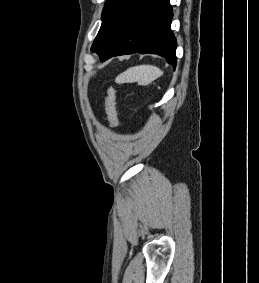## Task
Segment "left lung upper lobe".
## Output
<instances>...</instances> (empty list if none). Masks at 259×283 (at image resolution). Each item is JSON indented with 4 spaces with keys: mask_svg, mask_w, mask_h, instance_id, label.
Here are the masks:
<instances>
[{
    "mask_svg": "<svg viewBox=\"0 0 259 283\" xmlns=\"http://www.w3.org/2000/svg\"><path fill=\"white\" fill-rule=\"evenodd\" d=\"M123 1L124 0H107L106 1L105 7H104L103 13H102V25H101V28H100L97 36H96L95 41H97L100 38V36L103 34L106 27L108 26V24L112 20L113 16L117 12V10L119 9V7L123 3Z\"/></svg>",
    "mask_w": 259,
    "mask_h": 283,
    "instance_id": "1",
    "label": "left lung upper lobe"
}]
</instances>
